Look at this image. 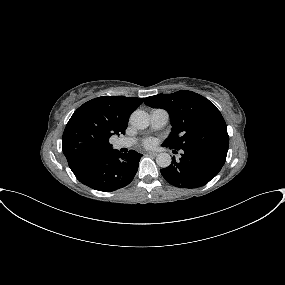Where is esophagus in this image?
Returning <instances> with one entry per match:
<instances>
[{"label":"esophagus","mask_w":285,"mask_h":285,"mask_svg":"<svg viewBox=\"0 0 285 285\" xmlns=\"http://www.w3.org/2000/svg\"><path fill=\"white\" fill-rule=\"evenodd\" d=\"M147 155L148 156H157V153L156 152H148Z\"/></svg>","instance_id":"34e87169"}]
</instances>
